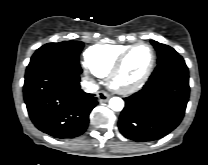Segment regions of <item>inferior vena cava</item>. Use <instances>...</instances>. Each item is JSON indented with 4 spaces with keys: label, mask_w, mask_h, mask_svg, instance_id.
Listing matches in <instances>:
<instances>
[{
    "label": "inferior vena cava",
    "mask_w": 208,
    "mask_h": 165,
    "mask_svg": "<svg viewBox=\"0 0 208 165\" xmlns=\"http://www.w3.org/2000/svg\"><path fill=\"white\" fill-rule=\"evenodd\" d=\"M84 91L88 92V93H94L98 90V86L87 81V80H83L81 83Z\"/></svg>",
    "instance_id": "inferior-vena-cava-1"
}]
</instances>
